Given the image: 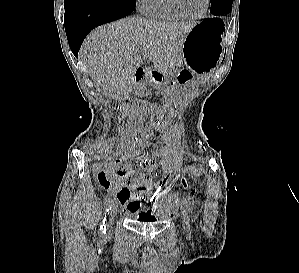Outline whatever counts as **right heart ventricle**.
<instances>
[{
    "mask_svg": "<svg viewBox=\"0 0 299 273\" xmlns=\"http://www.w3.org/2000/svg\"><path fill=\"white\" fill-rule=\"evenodd\" d=\"M142 12L158 20L177 21L184 18L175 9L171 0H146Z\"/></svg>",
    "mask_w": 299,
    "mask_h": 273,
    "instance_id": "1",
    "label": "right heart ventricle"
}]
</instances>
